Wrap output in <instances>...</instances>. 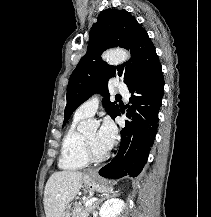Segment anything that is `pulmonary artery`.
<instances>
[{
	"label": "pulmonary artery",
	"instance_id": "pulmonary-artery-1",
	"mask_svg": "<svg viewBox=\"0 0 211 217\" xmlns=\"http://www.w3.org/2000/svg\"><path fill=\"white\" fill-rule=\"evenodd\" d=\"M115 88L125 97H128V88L123 82H116ZM99 105V95L95 94L83 102L76 110L75 115L81 118H88L95 114Z\"/></svg>",
	"mask_w": 211,
	"mask_h": 217
}]
</instances>
